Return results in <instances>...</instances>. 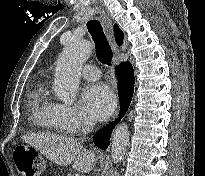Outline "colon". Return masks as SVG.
<instances>
[{"label": "colon", "mask_w": 205, "mask_h": 176, "mask_svg": "<svg viewBox=\"0 0 205 176\" xmlns=\"http://www.w3.org/2000/svg\"><path fill=\"white\" fill-rule=\"evenodd\" d=\"M14 163L22 176H40L45 168L44 160L40 154L25 147L15 149Z\"/></svg>", "instance_id": "colon-1"}]
</instances>
